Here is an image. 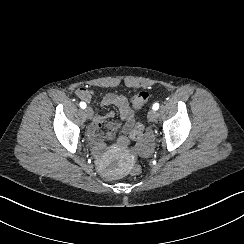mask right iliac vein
Listing matches in <instances>:
<instances>
[{
    "label": "right iliac vein",
    "mask_w": 244,
    "mask_h": 244,
    "mask_svg": "<svg viewBox=\"0 0 244 244\" xmlns=\"http://www.w3.org/2000/svg\"><path fill=\"white\" fill-rule=\"evenodd\" d=\"M83 113L88 119H92L93 110L91 108L88 107V108L84 109Z\"/></svg>",
    "instance_id": "63e3f726"
}]
</instances>
